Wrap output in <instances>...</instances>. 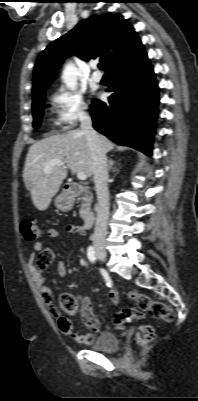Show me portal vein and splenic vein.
I'll return each mask as SVG.
<instances>
[{"label": "portal vein and splenic vein", "instance_id": "portal-vein-and-splenic-vein-1", "mask_svg": "<svg viewBox=\"0 0 198 401\" xmlns=\"http://www.w3.org/2000/svg\"><path fill=\"white\" fill-rule=\"evenodd\" d=\"M54 166H62L64 168H66L65 163L62 160L59 159H54L52 161H50L44 168V173H49L50 170L54 167ZM77 178L79 180H86L87 179V174L85 172L79 171L77 172Z\"/></svg>", "mask_w": 198, "mask_h": 401}]
</instances>
